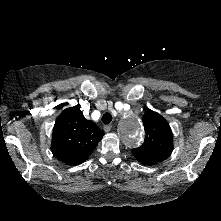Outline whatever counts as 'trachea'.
I'll return each instance as SVG.
<instances>
[{"label":"trachea","mask_w":221,"mask_h":221,"mask_svg":"<svg viewBox=\"0 0 221 221\" xmlns=\"http://www.w3.org/2000/svg\"><path fill=\"white\" fill-rule=\"evenodd\" d=\"M111 121H112V116H111L110 113L107 112V113L103 114V116H102V122H103L104 124H109Z\"/></svg>","instance_id":"obj_1"}]
</instances>
